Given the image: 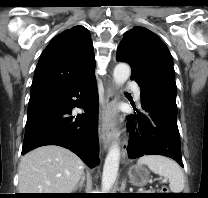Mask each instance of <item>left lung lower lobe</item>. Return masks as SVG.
Instances as JSON below:
<instances>
[{
    "label": "left lung lower lobe",
    "mask_w": 208,
    "mask_h": 198,
    "mask_svg": "<svg viewBox=\"0 0 208 198\" xmlns=\"http://www.w3.org/2000/svg\"><path fill=\"white\" fill-rule=\"evenodd\" d=\"M127 127L130 159L157 154L170 157L183 166L177 111L166 102L141 92V107L134 108V114L128 116Z\"/></svg>",
    "instance_id": "0a47b994"
}]
</instances>
